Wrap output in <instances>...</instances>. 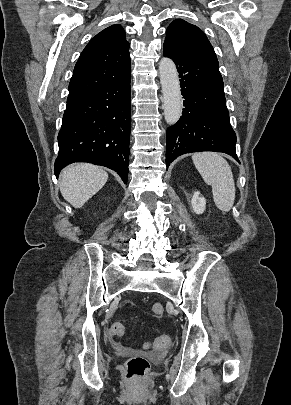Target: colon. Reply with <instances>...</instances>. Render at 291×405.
I'll return each instance as SVG.
<instances>
[{"mask_svg":"<svg viewBox=\"0 0 291 405\" xmlns=\"http://www.w3.org/2000/svg\"><path fill=\"white\" fill-rule=\"evenodd\" d=\"M153 312L157 315H161L164 312V308L160 303L153 305ZM125 333V327L121 323L113 324L109 329V335L112 338L121 337ZM171 343V338L168 334H163L155 338L152 342L148 343V347L154 349H164ZM149 371V362L146 358L136 356L130 358L125 364V377L131 382H138L142 380Z\"/></svg>","mask_w":291,"mask_h":405,"instance_id":"colon-1","label":"colon"}]
</instances>
